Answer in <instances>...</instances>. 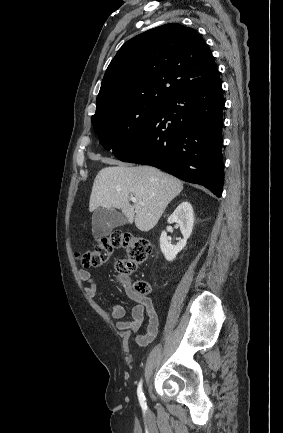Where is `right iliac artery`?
Segmentation results:
<instances>
[{
    "mask_svg": "<svg viewBox=\"0 0 283 433\" xmlns=\"http://www.w3.org/2000/svg\"><path fill=\"white\" fill-rule=\"evenodd\" d=\"M137 395H138V399H139V402H140L142 409L146 410L147 404L145 402V396H144V393L142 391V380L139 382L138 389H137Z\"/></svg>",
    "mask_w": 283,
    "mask_h": 433,
    "instance_id": "1",
    "label": "right iliac artery"
}]
</instances>
